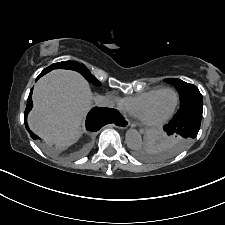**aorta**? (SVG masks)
Segmentation results:
<instances>
[{
  "mask_svg": "<svg viewBox=\"0 0 225 225\" xmlns=\"http://www.w3.org/2000/svg\"><path fill=\"white\" fill-rule=\"evenodd\" d=\"M125 141L130 149H138L142 145L141 135L134 129H130L126 132Z\"/></svg>",
  "mask_w": 225,
  "mask_h": 225,
  "instance_id": "aorta-1",
  "label": "aorta"
}]
</instances>
